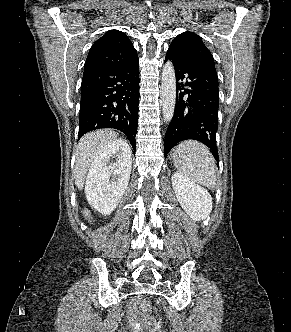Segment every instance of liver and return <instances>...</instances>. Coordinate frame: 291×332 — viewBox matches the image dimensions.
Here are the masks:
<instances>
[{"label":"liver","mask_w":291,"mask_h":332,"mask_svg":"<svg viewBox=\"0 0 291 332\" xmlns=\"http://www.w3.org/2000/svg\"><path fill=\"white\" fill-rule=\"evenodd\" d=\"M118 140L117 134L108 130H97L84 135L77 146L74 168L75 185L79 190L83 189L88 169L98 152L107 144ZM129 148V146H128ZM131 155V149L129 148ZM85 218H90V211L84 210Z\"/></svg>","instance_id":"1"}]
</instances>
